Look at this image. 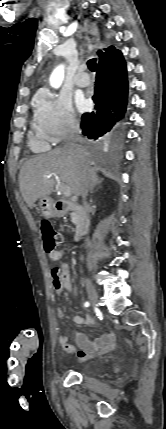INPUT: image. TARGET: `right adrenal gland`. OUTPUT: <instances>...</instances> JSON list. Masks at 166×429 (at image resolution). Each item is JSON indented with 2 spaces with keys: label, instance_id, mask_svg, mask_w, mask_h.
Here are the masks:
<instances>
[{
  "label": "right adrenal gland",
  "instance_id": "obj_1",
  "mask_svg": "<svg viewBox=\"0 0 166 429\" xmlns=\"http://www.w3.org/2000/svg\"><path fill=\"white\" fill-rule=\"evenodd\" d=\"M103 182V179L98 178V176H95L91 185H90V193L93 192V189L96 185H100Z\"/></svg>",
  "mask_w": 166,
  "mask_h": 429
}]
</instances>
